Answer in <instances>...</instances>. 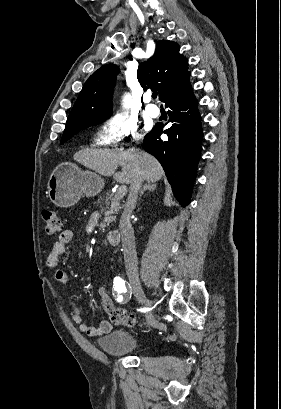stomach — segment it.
<instances>
[{"label":"stomach","instance_id":"1","mask_svg":"<svg viewBox=\"0 0 281 409\" xmlns=\"http://www.w3.org/2000/svg\"><path fill=\"white\" fill-rule=\"evenodd\" d=\"M104 180L95 172L81 170L74 162H61L50 174L48 196L56 207H73L81 196H95Z\"/></svg>","mask_w":281,"mask_h":409}]
</instances>
